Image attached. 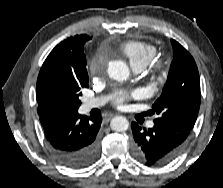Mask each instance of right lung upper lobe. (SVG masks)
Returning a JSON list of instances; mask_svg holds the SVG:
<instances>
[{"instance_id": "obj_1", "label": "right lung upper lobe", "mask_w": 223, "mask_h": 188, "mask_svg": "<svg viewBox=\"0 0 223 188\" xmlns=\"http://www.w3.org/2000/svg\"><path fill=\"white\" fill-rule=\"evenodd\" d=\"M91 38L87 35L69 37L57 45L43 63L36 85V99L38 114L41 117L68 114L58 111L49 100V92L56 87H63L82 78L79 59L83 53V46Z\"/></svg>"}]
</instances>
